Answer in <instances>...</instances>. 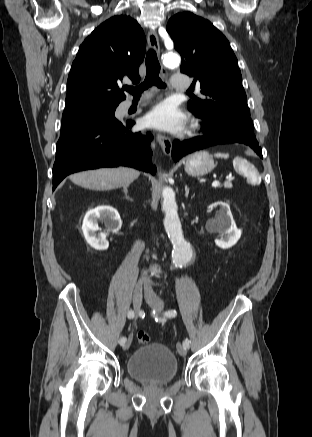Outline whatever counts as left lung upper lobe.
Listing matches in <instances>:
<instances>
[{"label":"left lung upper lobe","mask_w":312,"mask_h":437,"mask_svg":"<svg viewBox=\"0 0 312 437\" xmlns=\"http://www.w3.org/2000/svg\"><path fill=\"white\" fill-rule=\"evenodd\" d=\"M167 32L182 56L181 72L194 77L203 99L190 110L209 125L228 127L245 140H256L237 58L226 37L211 22L191 12L169 19Z\"/></svg>","instance_id":"left-lung-upper-lobe-1"}]
</instances>
